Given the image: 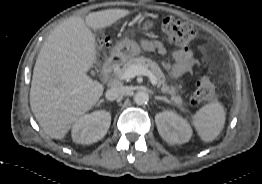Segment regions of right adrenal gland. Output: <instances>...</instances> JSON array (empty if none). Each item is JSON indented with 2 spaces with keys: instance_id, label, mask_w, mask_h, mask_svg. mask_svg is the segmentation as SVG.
<instances>
[{
  "instance_id": "1",
  "label": "right adrenal gland",
  "mask_w": 262,
  "mask_h": 184,
  "mask_svg": "<svg viewBox=\"0 0 262 184\" xmlns=\"http://www.w3.org/2000/svg\"><path fill=\"white\" fill-rule=\"evenodd\" d=\"M102 102H105V100H104V99L100 100V101L98 102V106H99Z\"/></svg>"
}]
</instances>
